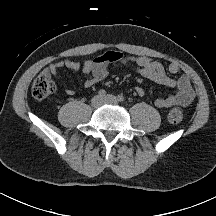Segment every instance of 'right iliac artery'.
I'll return each instance as SVG.
<instances>
[{
	"label": "right iliac artery",
	"instance_id": "right-iliac-artery-1",
	"mask_svg": "<svg viewBox=\"0 0 216 216\" xmlns=\"http://www.w3.org/2000/svg\"><path fill=\"white\" fill-rule=\"evenodd\" d=\"M98 95H99L100 97H103V96L106 95V91L103 90V89H101V90L98 91Z\"/></svg>",
	"mask_w": 216,
	"mask_h": 216
}]
</instances>
